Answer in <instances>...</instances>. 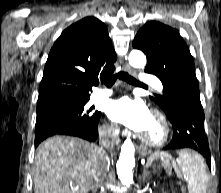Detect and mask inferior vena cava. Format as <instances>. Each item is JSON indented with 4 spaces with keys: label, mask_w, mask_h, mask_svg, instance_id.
<instances>
[{
    "label": "inferior vena cava",
    "mask_w": 221,
    "mask_h": 193,
    "mask_svg": "<svg viewBox=\"0 0 221 193\" xmlns=\"http://www.w3.org/2000/svg\"><path fill=\"white\" fill-rule=\"evenodd\" d=\"M116 139L117 132L113 126L107 130L101 131L99 134V158L93 167V176L96 188H100L103 185L110 164V158L106 153V150L113 148Z\"/></svg>",
    "instance_id": "1"
}]
</instances>
